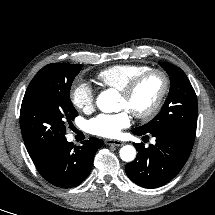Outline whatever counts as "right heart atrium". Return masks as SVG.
<instances>
[{
    "label": "right heart atrium",
    "mask_w": 215,
    "mask_h": 215,
    "mask_svg": "<svg viewBox=\"0 0 215 215\" xmlns=\"http://www.w3.org/2000/svg\"><path fill=\"white\" fill-rule=\"evenodd\" d=\"M70 99L75 108L83 112H90L95 101L94 89L86 81H77L70 91Z\"/></svg>",
    "instance_id": "1"
}]
</instances>
